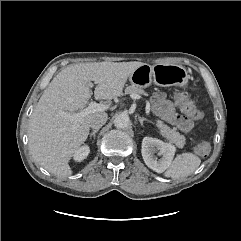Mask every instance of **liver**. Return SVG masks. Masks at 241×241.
<instances>
[{
    "mask_svg": "<svg viewBox=\"0 0 241 241\" xmlns=\"http://www.w3.org/2000/svg\"><path fill=\"white\" fill-rule=\"evenodd\" d=\"M143 62H94L70 65L59 72L48 85L35 107L28 127L29 150L34 161L57 177L72 174L70 159L86 141L91 118L78 122L63 112L74 114L88 103L92 92L90 81L96 84V100L120 97L128 77ZM111 109V103L106 104Z\"/></svg>",
    "mask_w": 241,
    "mask_h": 241,
    "instance_id": "obj_1",
    "label": "liver"
}]
</instances>
